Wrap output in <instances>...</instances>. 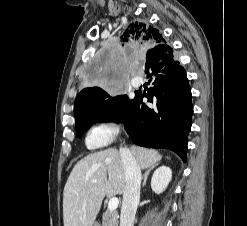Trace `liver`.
<instances>
[{
  "label": "liver",
  "mask_w": 247,
  "mask_h": 226,
  "mask_svg": "<svg viewBox=\"0 0 247 226\" xmlns=\"http://www.w3.org/2000/svg\"><path fill=\"white\" fill-rule=\"evenodd\" d=\"M131 153L142 169L162 159L156 150L137 146L131 147ZM125 186L123 163L116 148L87 155L74 166L64 187V226H92L104 197L123 194Z\"/></svg>",
  "instance_id": "1"
}]
</instances>
